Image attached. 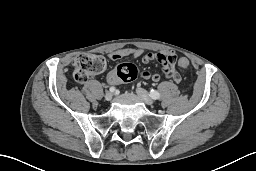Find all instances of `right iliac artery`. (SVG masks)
<instances>
[{
    "instance_id": "right-iliac-artery-1",
    "label": "right iliac artery",
    "mask_w": 256,
    "mask_h": 171,
    "mask_svg": "<svg viewBox=\"0 0 256 171\" xmlns=\"http://www.w3.org/2000/svg\"><path fill=\"white\" fill-rule=\"evenodd\" d=\"M110 92H114L116 89H115V87H110Z\"/></svg>"
}]
</instances>
